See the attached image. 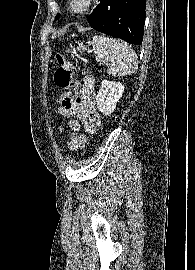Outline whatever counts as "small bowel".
Segmentation results:
<instances>
[{"instance_id":"small-bowel-1","label":"small bowel","mask_w":195,"mask_h":270,"mask_svg":"<svg viewBox=\"0 0 195 270\" xmlns=\"http://www.w3.org/2000/svg\"><path fill=\"white\" fill-rule=\"evenodd\" d=\"M60 115L71 118L77 117L78 120H70L68 128L70 138L67 140V146L70 150L79 149L77 137L79 135L80 125L88 132H94L101 121L100 114L96 108L95 102V79L93 76L86 75L81 83L80 92L75 103L70 107L59 106ZM59 132L64 135V128L59 127Z\"/></svg>"}]
</instances>
